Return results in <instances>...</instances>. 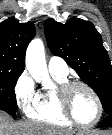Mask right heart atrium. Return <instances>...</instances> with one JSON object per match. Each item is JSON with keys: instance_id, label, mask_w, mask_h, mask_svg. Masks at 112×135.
Segmentation results:
<instances>
[{"instance_id": "d8ad5b80", "label": "right heart atrium", "mask_w": 112, "mask_h": 135, "mask_svg": "<svg viewBox=\"0 0 112 135\" xmlns=\"http://www.w3.org/2000/svg\"><path fill=\"white\" fill-rule=\"evenodd\" d=\"M37 89L34 80L27 73L23 72L17 79L14 86V97L17 106L25 113L34 105L37 98Z\"/></svg>"}]
</instances>
